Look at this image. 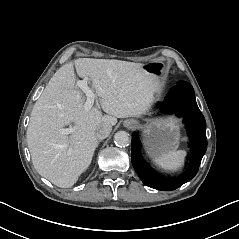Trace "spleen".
<instances>
[{"mask_svg": "<svg viewBox=\"0 0 239 239\" xmlns=\"http://www.w3.org/2000/svg\"><path fill=\"white\" fill-rule=\"evenodd\" d=\"M186 151H170L155 159V163L164 170L176 171L184 166Z\"/></svg>", "mask_w": 239, "mask_h": 239, "instance_id": "3e777b00", "label": "spleen"}]
</instances>
